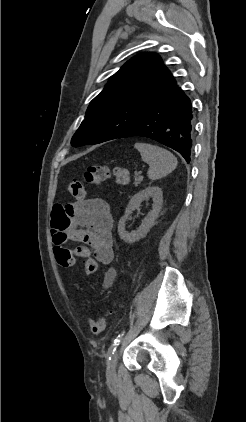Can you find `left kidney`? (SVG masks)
<instances>
[{
  "label": "left kidney",
  "instance_id": "left-kidney-1",
  "mask_svg": "<svg viewBox=\"0 0 246 422\" xmlns=\"http://www.w3.org/2000/svg\"><path fill=\"white\" fill-rule=\"evenodd\" d=\"M152 197L153 205L152 210L144 218V221L140 227L129 233L126 231L125 225L126 221L129 218L131 212L141 206V203L145 200ZM163 202V192L162 189L158 186H149L144 190L136 193L131 200L129 201L127 208L125 210L124 216L120 219L118 224V233L120 238L126 243L132 244L141 238H144L149 232L150 228L155 224L156 219L159 216V213L162 208Z\"/></svg>",
  "mask_w": 246,
  "mask_h": 422
}]
</instances>
